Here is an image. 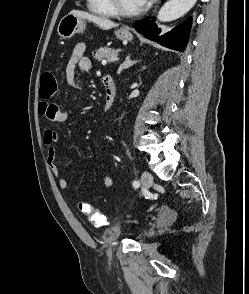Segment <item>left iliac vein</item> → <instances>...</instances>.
I'll use <instances>...</instances> for the list:
<instances>
[{"mask_svg":"<svg viewBox=\"0 0 249 294\" xmlns=\"http://www.w3.org/2000/svg\"><path fill=\"white\" fill-rule=\"evenodd\" d=\"M141 181L143 183L144 189L148 190L151 187L152 183H153L152 174L150 172H148V171H144L142 173Z\"/></svg>","mask_w":249,"mask_h":294,"instance_id":"left-iliac-vein-1","label":"left iliac vein"}]
</instances>
